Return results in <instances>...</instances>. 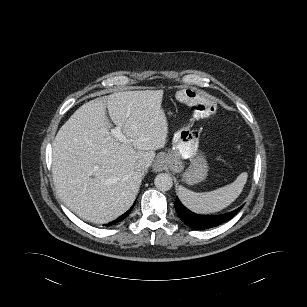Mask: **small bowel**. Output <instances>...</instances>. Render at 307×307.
<instances>
[{
	"instance_id": "1",
	"label": "small bowel",
	"mask_w": 307,
	"mask_h": 307,
	"mask_svg": "<svg viewBox=\"0 0 307 307\" xmlns=\"http://www.w3.org/2000/svg\"><path fill=\"white\" fill-rule=\"evenodd\" d=\"M182 100L186 103H195L192 121L211 116L215 112V104L211 100L199 99L195 93L191 91H184L182 93Z\"/></svg>"
}]
</instances>
